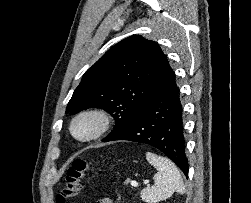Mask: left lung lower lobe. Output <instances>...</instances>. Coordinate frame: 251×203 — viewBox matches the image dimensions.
I'll return each mask as SVG.
<instances>
[{
  "instance_id": "left-lung-lower-lobe-1",
  "label": "left lung lower lobe",
  "mask_w": 251,
  "mask_h": 203,
  "mask_svg": "<svg viewBox=\"0 0 251 203\" xmlns=\"http://www.w3.org/2000/svg\"><path fill=\"white\" fill-rule=\"evenodd\" d=\"M114 140L151 145L162 151L186 176L188 175L183 108L175 73L171 68L155 94L140 109L127 128L107 141Z\"/></svg>"
}]
</instances>
